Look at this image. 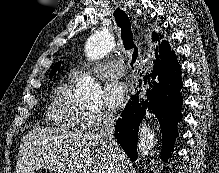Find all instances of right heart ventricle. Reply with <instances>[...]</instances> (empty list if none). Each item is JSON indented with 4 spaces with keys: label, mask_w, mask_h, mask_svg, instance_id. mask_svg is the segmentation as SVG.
<instances>
[{
    "label": "right heart ventricle",
    "mask_w": 219,
    "mask_h": 173,
    "mask_svg": "<svg viewBox=\"0 0 219 173\" xmlns=\"http://www.w3.org/2000/svg\"><path fill=\"white\" fill-rule=\"evenodd\" d=\"M86 113L72 101L71 82L60 83L53 91L47 109L50 124L63 130H81L87 127Z\"/></svg>",
    "instance_id": "1"
}]
</instances>
